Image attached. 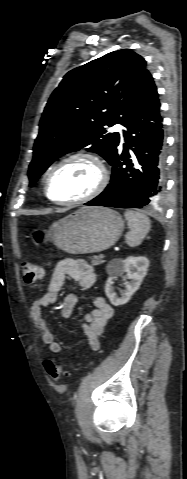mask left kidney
<instances>
[{
    "label": "left kidney",
    "mask_w": 187,
    "mask_h": 479,
    "mask_svg": "<svg viewBox=\"0 0 187 479\" xmlns=\"http://www.w3.org/2000/svg\"><path fill=\"white\" fill-rule=\"evenodd\" d=\"M149 266V260L146 257H127L124 260L113 259L107 266L106 271L109 275V278L105 285V293L109 298L110 302L114 306H120L126 304L131 296L139 289L144 277L147 274ZM124 273L127 274V278L130 280L126 282L125 290L121 293V297L116 296L114 292V280L118 276H122Z\"/></svg>",
    "instance_id": "obj_1"
}]
</instances>
